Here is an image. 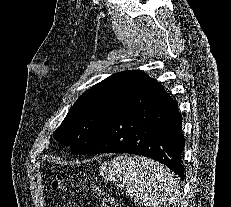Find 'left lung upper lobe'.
I'll return each instance as SVG.
<instances>
[{
    "mask_svg": "<svg viewBox=\"0 0 231 207\" xmlns=\"http://www.w3.org/2000/svg\"><path fill=\"white\" fill-rule=\"evenodd\" d=\"M141 71L115 73L84 92L69 110L54 138L70 146L73 154L84 153L108 120L146 84Z\"/></svg>",
    "mask_w": 231,
    "mask_h": 207,
    "instance_id": "obj_1",
    "label": "left lung upper lobe"
}]
</instances>
